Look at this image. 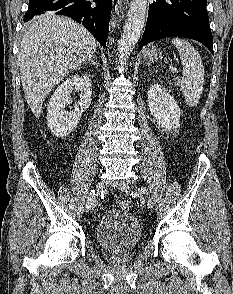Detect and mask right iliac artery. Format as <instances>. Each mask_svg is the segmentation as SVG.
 <instances>
[{"instance_id": "obj_1", "label": "right iliac artery", "mask_w": 233, "mask_h": 294, "mask_svg": "<svg viewBox=\"0 0 233 294\" xmlns=\"http://www.w3.org/2000/svg\"><path fill=\"white\" fill-rule=\"evenodd\" d=\"M95 197V191L94 190H91L89 195H88V198H87V203H86V210L89 211L91 206H92V201Z\"/></svg>"}]
</instances>
